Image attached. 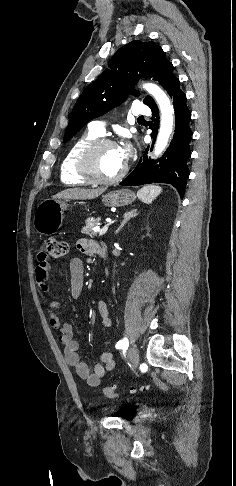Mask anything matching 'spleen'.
<instances>
[{"label":"spleen","mask_w":236,"mask_h":486,"mask_svg":"<svg viewBox=\"0 0 236 486\" xmlns=\"http://www.w3.org/2000/svg\"><path fill=\"white\" fill-rule=\"evenodd\" d=\"M161 192L162 188L160 186L147 185L138 190L137 196L142 202L150 204Z\"/></svg>","instance_id":"3e777b00"}]
</instances>
